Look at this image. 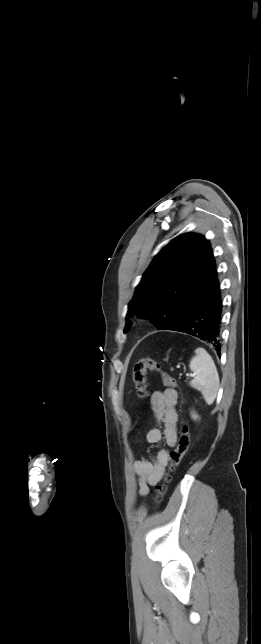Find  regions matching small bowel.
<instances>
[{
	"mask_svg": "<svg viewBox=\"0 0 261 644\" xmlns=\"http://www.w3.org/2000/svg\"><path fill=\"white\" fill-rule=\"evenodd\" d=\"M178 394L174 389L155 391L150 398V405L155 418L163 424V430L152 428L146 434V439L151 444H156L162 439L169 448L177 444L178 414L176 405ZM169 461V450H159L152 461L135 460L133 470L138 478V492L140 496H147L149 486L157 484L165 471Z\"/></svg>",
	"mask_w": 261,
	"mask_h": 644,
	"instance_id": "small-bowel-1",
	"label": "small bowel"
}]
</instances>
